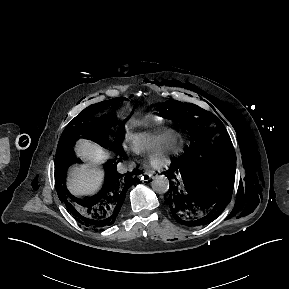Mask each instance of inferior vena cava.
<instances>
[{"label": "inferior vena cava", "mask_w": 289, "mask_h": 289, "mask_svg": "<svg viewBox=\"0 0 289 289\" xmlns=\"http://www.w3.org/2000/svg\"><path fill=\"white\" fill-rule=\"evenodd\" d=\"M135 167V164L134 163H129L128 165L124 166V165H119L118 166V171L120 173H125L127 171H131L133 170Z\"/></svg>", "instance_id": "1"}]
</instances>
